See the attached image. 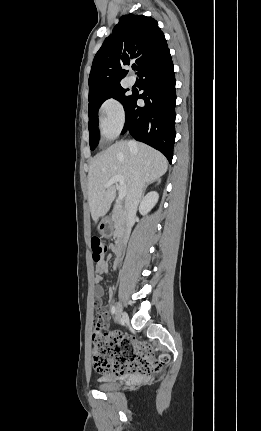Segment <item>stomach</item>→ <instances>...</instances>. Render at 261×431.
<instances>
[{
  "label": "stomach",
  "mask_w": 261,
  "mask_h": 431,
  "mask_svg": "<svg viewBox=\"0 0 261 431\" xmlns=\"http://www.w3.org/2000/svg\"><path fill=\"white\" fill-rule=\"evenodd\" d=\"M97 229H98L99 233L104 237L112 236L113 230H114L112 222L109 219L102 220L99 223Z\"/></svg>",
  "instance_id": "1"
}]
</instances>
